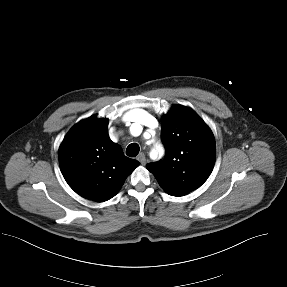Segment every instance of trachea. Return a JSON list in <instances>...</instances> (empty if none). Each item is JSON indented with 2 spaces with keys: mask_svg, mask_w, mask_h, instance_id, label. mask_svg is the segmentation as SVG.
I'll list each match as a JSON object with an SVG mask.
<instances>
[{
  "mask_svg": "<svg viewBox=\"0 0 287 287\" xmlns=\"http://www.w3.org/2000/svg\"><path fill=\"white\" fill-rule=\"evenodd\" d=\"M139 151H140L139 145L137 143H131L126 149V154L129 157H136Z\"/></svg>",
  "mask_w": 287,
  "mask_h": 287,
  "instance_id": "trachea-1",
  "label": "trachea"
}]
</instances>
